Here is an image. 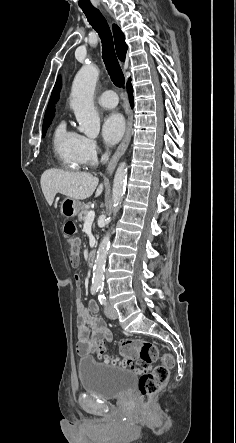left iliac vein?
Wrapping results in <instances>:
<instances>
[{
  "label": "left iliac vein",
  "instance_id": "4c4485c4",
  "mask_svg": "<svg viewBox=\"0 0 236 443\" xmlns=\"http://www.w3.org/2000/svg\"><path fill=\"white\" fill-rule=\"evenodd\" d=\"M104 313L110 319H117L118 317L116 309L112 306H106L104 309Z\"/></svg>",
  "mask_w": 236,
  "mask_h": 443
}]
</instances>
